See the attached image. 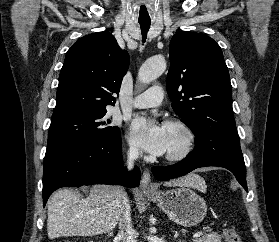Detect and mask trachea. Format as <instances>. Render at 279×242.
<instances>
[{"mask_svg":"<svg viewBox=\"0 0 279 242\" xmlns=\"http://www.w3.org/2000/svg\"><path fill=\"white\" fill-rule=\"evenodd\" d=\"M140 27H141V32H142V41L145 42L146 41V36H147V32L150 28V21H139Z\"/></svg>","mask_w":279,"mask_h":242,"instance_id":"trachea-1","label":"trachea"}]
</instances>
